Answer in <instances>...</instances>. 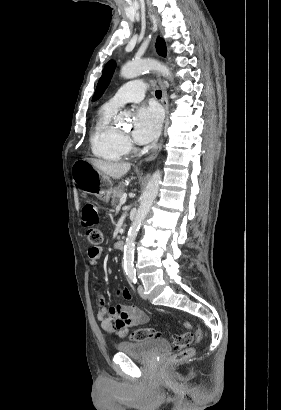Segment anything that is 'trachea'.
<instances>
[{
	"label": "trachea",
	"instance_id": "3493384b",
	"mask_svg": "<svg viewBox=\"0 0 281 410\" xmlns=\"http://www.w3.org/2000/svg\"><path fill=\"white\" fill-rule=\"evenodd\" d=\"M161 95H162L161 90H157V91L155 92V96H156L157 98H161Z\"/></svg>",
	"mask_w": 281,
	"mask_h": 410
}]
</instances>
